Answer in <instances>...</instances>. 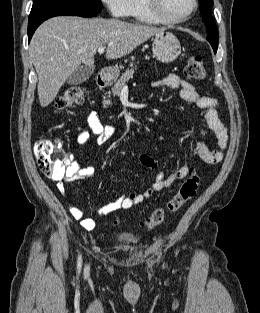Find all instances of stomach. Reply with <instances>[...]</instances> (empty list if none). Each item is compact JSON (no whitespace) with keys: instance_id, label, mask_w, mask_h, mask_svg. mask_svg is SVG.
Returning <instances> with one entry per match:
<instances>
[{"instance_id":"obj_1","label":"stomach","mask_w":260,"mask_h":313,"mask_svg":"<svg viewBox=\"0 0 260 313\" xmlns=\"http://www.w3.org/2000/svg\"><path fill=\"white\" fill-rule=\"evenodd\" d=\"M152 51L156 58L164 63H170L177 59L181 53V45L178 38L171 32L157 33L153 39ZM119 74L117 69L106 74V79L113 80Z\"/></svg>"}]
</instances>
